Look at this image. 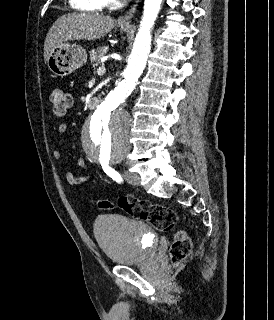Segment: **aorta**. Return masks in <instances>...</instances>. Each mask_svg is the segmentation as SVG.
I'll return each instance as SVG.
<instances>
[{
  "label": "aorta",
  "instance_id": "aorta-1",
  "mask_svg": "<svg viewBox=\"0 0 274 320\" xmlns=\"http://www.w3.org/2000/svg\"><path fill=\"white\" fill-rule=\"evenodd\" d=\"M161 3L162 0L144 1L143 17L123 78L83 127L82 146L86 156L94 162L120 161L129 151L131 118L124 104L146 66L151 49V29Z\"/></svg>",
  "mask_w": 274,
  "mask_h": 320
}]
</instances>
